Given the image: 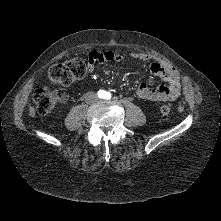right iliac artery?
<instances>
[{
    "label": "right iliac artery",
    "mask_w": 221,
    "mask_h": 221,
    "mask_svg": "<svg viewBox=\"0 0 221 221\" xmlns=\"http://www.w3.org/2000/svg\"><path fill=\"white\" fill-rule=\"evenodd\" d=\"M105 96V92L103 90L98 91V97L103 98Z\"/></svg>",
    "instance_id": "obj_1"
}]
</instances>
